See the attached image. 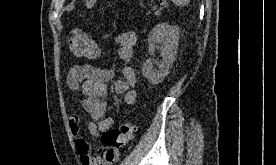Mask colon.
I'll return each mask as SVG.
<instances>
[{"mask_svg":"<svg viewBox=\"0 0 276 165\" xmlns=\"http://www.w3.org/2000/svg\"><path fill=\"white\" fill-rule=\"evenodd\" d=\"M68 40L70 51L78 57L94 59L100 55V49L96 42L79 29L71 30ZM133 133V124L124 122L119 127L110 129L101 135V146L109 152V156H112L115 150L126 146L131 141Z\"/></svg>","mask_w":276,"mask_h":165,"instance_id":"obj_1","label":"colon"}]
</instances>
